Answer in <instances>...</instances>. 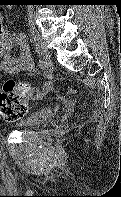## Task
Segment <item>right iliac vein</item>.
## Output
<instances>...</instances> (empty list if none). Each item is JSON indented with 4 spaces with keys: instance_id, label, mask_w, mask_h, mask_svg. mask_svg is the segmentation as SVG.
<instances>
[{
    "instance_id": "63e3f726",
    "label": "right iliac vein",
    "mask_w": 121,
    "mask_h": 197,
    "mask_svg": "<svg viewBox=\"0 0 121 197\" xmlns=\"http://www.w3.org/2000/svg\"><path fill=\"white\" fill-rule=\"evenodd\" d=\"M30 32L36 43L40 55L43 57L46 64L49 66L51 64V55L46 46L45 41L43 40V38L41 37V35L39 34L38 30L35 27H31Z\"/></svg>"
}]
</instances>
